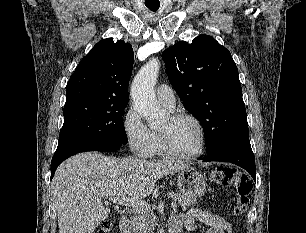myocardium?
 <instances>
[{"label": "myocardium", "instance_id": "obj_1", "mask_svg": "<svg viewBox=\"0 0 306 233\" xmlns=\"http://www.w3.org/2000/svg\"><path fill=\"white\" fill-rule=\"evenodd\" d=\"M171 118L174 121L188 119L194 122L200 133V146L197 151L192 152V153L179 152L171 146L167 135L164 132L160 131L159 134L161 138L163 151L170 156L182 158V159H192V158H197L201 156L206 149V141H207L206 130L201 120L197 116L191 113H187V112L174 113L173 115H171Z\"/></svg>", "mask_w": 306, "mask_h": 233}]
</instances>
